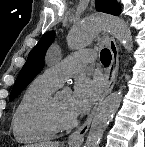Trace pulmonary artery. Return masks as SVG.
<instances>
[{
  "label": "pulmonary artery",
  "mask_w": 145,
  "mask_h": 147,
  "mask_svg": "<svg viewBox=\"0 0 145 147\" xmlns=\"http://www.w3.org/2000/svg\"><path fill=\"white\" fill-rule=\"evenodd\" d=\"M94 61V51L89 50L80 53H72L65 59L50 65L44 71V74L57 84H61L68 76L78 72L82 67Z\"/></svg>",
  "instance_id": "1"
}]
</instances>
